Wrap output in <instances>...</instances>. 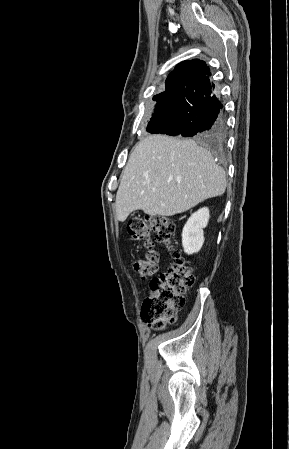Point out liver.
I'll return each instance as SVG.
<instances>
[{"mask_svg": "<svg viewBox=\"0 0 289 449\" xmlns=\"http://www.w3.org/2000/svg\"><path fill=\"white\" fill-rule=\"evenodd\" d=\"M225 189L224 169L194 140L148 136L136 145L123 171L116 217L123 222L136 210L173 216L221 196Z\"/></svg>", "mask_w": 289, "mask_h": 449, "instance_id": "6515ba94", "label": "liver"}]
</instances>
